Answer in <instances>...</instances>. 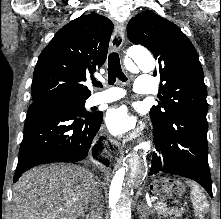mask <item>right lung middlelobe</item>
<instances>
[{"instance_id": "dd1d6c3e", "label": "right lung middle lobe", "mask_w": 221, "mask_h": 219, "mask_svg": "<svg viewBox=\"0 0 221 219\" xmlns=\"http://www.w3.org/2000/svg\"><path fill=\"white\" fill-rule=\"evenodd\" d=\"M85 99L75 98H54L35 102V104H63L72 108L75 112L81 116H88L91 113L87 112L84 108Z\"/></svg>"}]
</instances>
